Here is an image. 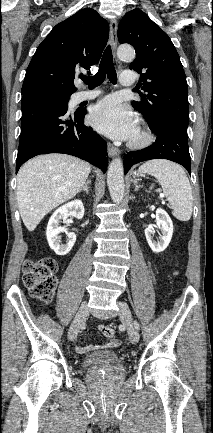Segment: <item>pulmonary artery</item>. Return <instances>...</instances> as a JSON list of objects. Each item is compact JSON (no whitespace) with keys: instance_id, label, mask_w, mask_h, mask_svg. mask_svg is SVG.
Returning a JSON list of instances; mask_svg holds the SVG:
<instances>
[{"instance_id":"1","label":"pulmonary artery","mask_w":213,"mask_h":433,"mask_svg":"<svg viewBox=\"0 0 213 433\" xmlns=\"http://www.w3.org/2000/svg\"><path fill=\"white\" fill-rule=\"evenodd\" d=\"M135 82V77L133 72L124 71L120 75V84L122 86H132ZM100 94L99 90L92 91H80L76 94L75 99L77 102H81L84 100H89L97 97Z\"/></svg>"}]
</instances>
